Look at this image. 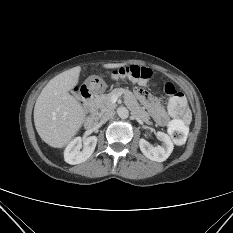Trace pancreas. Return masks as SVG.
Segmentation results:
<instances>
[{"instance_id":"cf45deb5","label":"pancreas","mask_w":233,"mask_h":233,"mask_svg":"<svg viewBox=\"0 0 233 233\" xmlns=\"http://www.w3.org/2000/svg\"><path fill=\"white\" fill-rule=\"evenodd\" d=\"M120 95H124L125 100L134 106L133 112L137 118L146 123H151L149 121V114L139 107L134 94L128 89L116 88L108 94L98 95L95 99V108L97 112L99 114H103L107 111L114 110L116 108V104L112 102V97Z\"/></svg>"}]
</instances>
